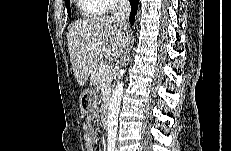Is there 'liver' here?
Masks as SVG:
<instances>
[{"mask_svg":"<svg viewBox=\"0 0 231 151\" xmlns=\"http://www.w3.org/2000/svg\"><path fill=\"white\" fill-rule=\"evenodd\" d=\"M75 78L83 86L93 75L102 55L117 59L129 42L127 28L112 16H95L76 22L67 33ZM94 44H101L92 48Z\"/></svg>","mask_w":231,"mask_h":151,"instance_id":"liver-1","label":"liver"}]
</instances>
